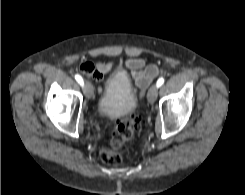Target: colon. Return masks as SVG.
I'll return each instance as SVG.
<instances>
[{"label": "colon", "instance_id": "colon-1", "mask_svg": "<svg viewBox=\"0 0 245 195\" xmlns=\"http://www.w3.org/2000/svg\"><path fill=\"white\" fill-rule=\"evenodd\" d=\"M139 122V117L133 115L116 123L108 144L100 151V158L104 163L118 165L122 162L125 154V142L132 137Z\"/></svg>", "mask_w": 245, "mask_h": 195}]
</instances>
